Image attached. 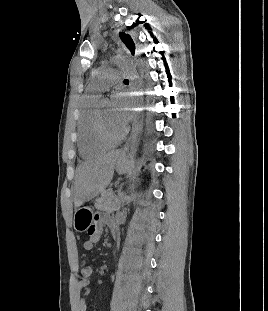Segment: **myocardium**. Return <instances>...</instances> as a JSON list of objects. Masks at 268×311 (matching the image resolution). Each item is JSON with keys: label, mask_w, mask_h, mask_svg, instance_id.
<instances>
[{"label": "myocardium", "mask_w": 268, "mask_h": 311, "mask_svg": "<svg viewBox=\"0 0 268 311\" xmlns=\"http://www.w3.org/2000/svg\"><path fill=\"white\" fill-rule=\"evenodd\" d=\"M94 126H95V133L98 139L101 142L105 144H109V145H113V144L121 142L128 133V127L124 125L119 135L117 136L110 135L105 128L104 121H103V115H102L100 107H97Z\"/></svg>", "instance_id": "f54148a6"}]
</instances>
